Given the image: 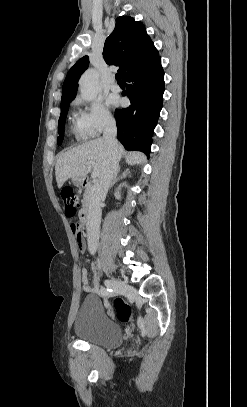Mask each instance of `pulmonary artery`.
<instances>
[{"mask_svg":"<svg viewBox=\"0 0 247 407\" xmlns=\"http://www.w3.org/2000/svg\"><path fill=\"white\" fill-rule=\"evenodd\" d=\"M110 89L114 92L120 91L119 85L114 80L110 82Z\"/></svg>","mask_w":247,"mask_h":407,"instance_id":"e3ab8cb5","label":"pulmonary artery"}]
</instances>
